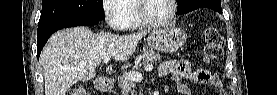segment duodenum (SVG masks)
<instances>
[{
  "label": "duodenum",
  "instance_id": "1",
  "mask_svg": "<svg viewBox=\"0 0 277 95\" xmlns=\"http://www.w3.org/2000/svg\"><path fill=\"white\" fill-rule=\"evenodd\" d=\"M97 87L103 91H107L113 86V81L104 79V78H99L96 81Z\"/></svg>",
  "mask_w": 277,
  "mask_h": 95
}]
</instances>
